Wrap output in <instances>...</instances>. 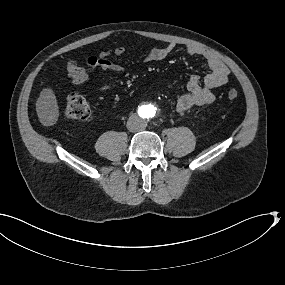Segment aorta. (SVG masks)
<instances>
[{"mask_svg": "<svg viewBox=\"0 0 285 285\" xmlns=\"http://www.w3.org/2000/svg\"><path fill=\"white\" fill-rule=\"evenodd\" d=\"M141 114L149 120H158L163 115V106L158 101H149L141 109Z\"/></svg>", "mask_w": 285, "mask_h": 285, "instance_id": "obj_1", "label": "aorta"}]
</instances>
